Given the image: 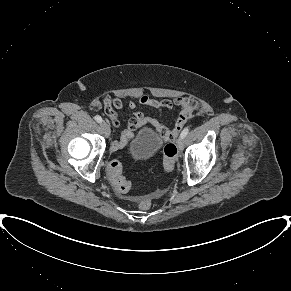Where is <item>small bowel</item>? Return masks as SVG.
<instances>
[{
    "label": "small bowel",
    "mask_w": 291,
    "mask_h": 291,
    "mask_svg": "<svg viewBox=\"0 0 291 291\" xmlns=\"http://www.w3.org/2000/svg\"><path fill=\"white\" fill-rule=\"evenodd\" d=\"M152 107L159 111L172 110L174 108L179 109L178 116L175 119L172 127H167L157 118H153L145 115L143 112L136 111L137 105ZM103 107L106 115L111 120L113 125L119 126L120 121L117 111L123 108V102L120 98H105L103 100ZM128 107L133 110L131 118L128 120L126 128L121 132L120 137L115 139L110 147L112 152L123 149L127 142L134 138L135 130L145 126L147 123L153 125L154 130L158 132L164 140H174L180 130L188 123V121L194 116V113L198 110V103L196 100L190 97H179L173 101L170 100H158L149 97L146 94L138 96L137 101L130 100Z\"/></svg>",
    "instance_id": "1"
}]
</instances>
